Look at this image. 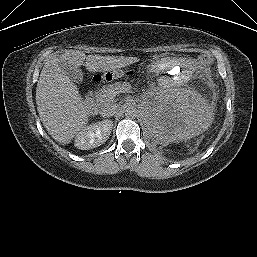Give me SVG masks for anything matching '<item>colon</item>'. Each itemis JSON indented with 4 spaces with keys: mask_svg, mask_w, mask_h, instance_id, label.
<instances>
[{
    "mask_svg": "<svg viewBox=\"0 0 257 257\" xmlns=\"http://www.w3.org/2000/svg\"><path fill=\"white\" fill-rule=\"evenodd\" d=\"M199 61L204 64V65H211L213 62V59L210 55L207 54H202L199 56ZM131 72H126L123 70H112V71H107L103 72L99 75L96 76L98 81H111L123 76H129Z\"/></svg>",
    "mask_w": 257,
    "mask_h": 257,
    "instance_id": "obj_1",
    "label": "colon"
}]
</instances>
